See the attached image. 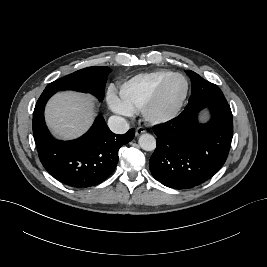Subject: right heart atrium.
<instances>
[{"label": "right heart atrium", "instance_id": "1", "mask_svg": "<svg viewBox=\"0 0 267 267\" xmlns=\"http://www.w3.org/2000/svg\"><path fill=\"white\" fill-rule=\"evenodd\" d=\"M107 104L113 112L120 115H130L132 112L116 95L113 89H109L107 93Z\"/></svg>", "mask_w": 267, "mask_h": 267}]
</instances>
